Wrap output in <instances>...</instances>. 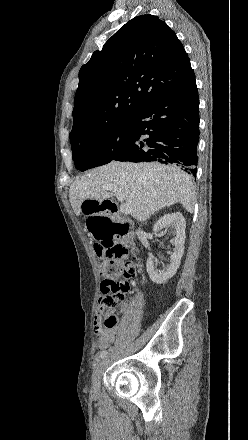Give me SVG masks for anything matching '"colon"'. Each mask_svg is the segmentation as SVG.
<instances>
[{
  "mask_svg": "<svg viewBox=\"0 0 248 440\" xmlns=\"http://www.w3.org/2000/svg\"><path fill=\"white\" fill-rule=\"evenodd\" d=\"M111 221L114 228L115 223ZM94 251L102 260L100 270L105 277L101 283L98 307L111 310L124 302L131 288L130 280L138 272L135 251L131 245L115 241H104L102 246L94 245ZM116 324L117 317L114 314L106 315L105 326L113 327Z\"/></svg>",
  "mask_w": 248,
  "mask_h": 440,
  "instance_id": "colon-1",
  "label": "colon"
}]
</instances>
